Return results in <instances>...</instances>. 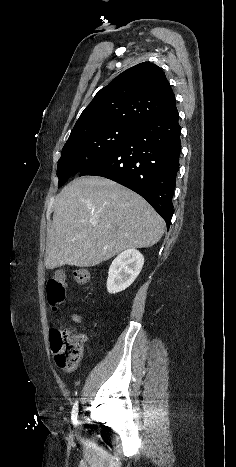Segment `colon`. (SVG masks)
Segmentation results:
<instances>
[{"instance_id":"1","label":"colon","mask_w":236,"mask_h":467,"mask_svg":"<svg viewBox=\"0 0 236 467\" xmlns=\"http://www.w3.org/2000/svg\"><path fill=\"white\" fill-rule=\"evenodd\" d=\"M73 277L76 283L83 285L87 283L89 273L86 269H77ZM65 284L66 275L63 271L56 272L46 284L47 301L53 310L58 309L65 300ZM74 320L78 321L79 317L74 316ZM50 342L57 365L65 371H74L83 356L86 338L71 329H54Z\"/></svg>"}]
</instances>
